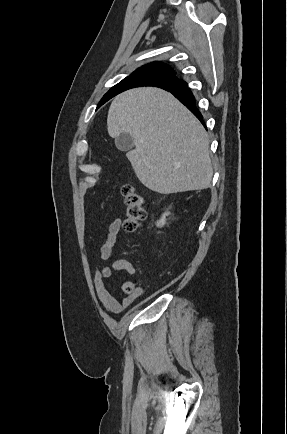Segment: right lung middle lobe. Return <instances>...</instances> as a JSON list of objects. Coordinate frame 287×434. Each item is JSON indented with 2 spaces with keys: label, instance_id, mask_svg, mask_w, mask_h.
<instances>
[{
  "label": "right lung middle lobe",
  "instance_id": "1",
  "mask_svg": "<svg viewBox=\"0 0 287 434\" xmlns=\"http://www.w3.org/2000/svg\"><path fill=\"white\" fill-rule=\"evenodd\" d=\"M175 76L167 71L159 69L139 68L120 83L112 87L101 99L98 107L115 95L134 87L150 86L174 79ZM177 78V77H176Z\"/></svg>",
  "mask_w": 287,
  "mask_h": 434
}]
</instances>
